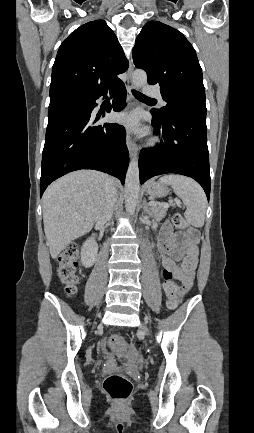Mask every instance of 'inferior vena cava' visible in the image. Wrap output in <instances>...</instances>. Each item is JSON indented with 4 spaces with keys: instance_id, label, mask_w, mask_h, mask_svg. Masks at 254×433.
<instances>
[{
    "instance_id": "602c4592",
    "label": "inferior vena cava",
    "mask_w": 254,
    "mask_h": 433,
    "mask_svg": "<svg viewBox=\"0 0 254 433\" xmlns=\"http://www.w3.org/2000/svg\"><path fill=\"white\" fill-rule=\"evenodd\" d=\"M115 202H116V184L111 177H108L106 201H105L103 213L101 215L102 221L107 222L112 218Z\"/></svg>"
}]
</instances>
